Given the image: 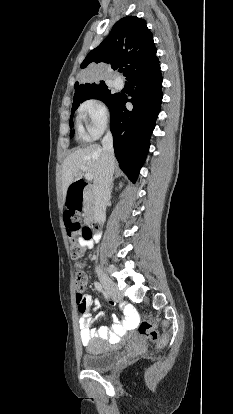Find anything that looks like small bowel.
I'll return each mask as SVG.
<instances>
[{"mask_svg":"<svg viewBox=\"0 0 233 414\" xmlns=\"http://www.w3.org/2000/svg\"><path fill=\"white\" fill-rule=\"evenodd\" d=\"M79 244L83 248L91 249L94 245L93 240L80 238L78 240ZM112 308L118 307L117 301L111 302ZM121 307L124 308V320L120 317L114 316L113 317V325L111 327L102 326L98 330L93 328V324L95 322V318L91 315L90 307L93 306V310L97 311L100 308L99 302L94 299L91 295H85V299L82 301L81 305L78 306V311L81 315L79 320V327H80V338L83 345H87L91 342L94 337L100 336L103 338H108L111 342H117L122 335H124L127 331L133 330L137 327L139 323V316L131 307V303L128 304L127 301L121 302ZM130 305V306H128Z\"/></svg>","mask_w":233,"mask_h":414,"instance_id":"small-bowel-1","label":"small bowel"}]
</instances>
